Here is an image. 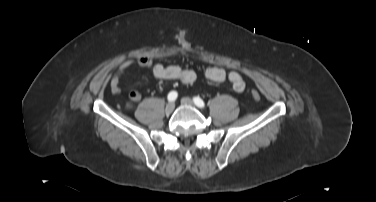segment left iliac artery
Listing matches in <instances>:
<instances>
[{"instance_id":"1","label":"left iliac artery","mask_w":376,"mask_h":202,"mask_svg":"<svg viewBox=\"0 0 376 202\" xmlns=\"http://www.w3.org/2000/svg\"><path fill=\"white\" fill-rule=\"evenodd\" d=\"M193 101L200 108H203L205 106L204 101L200 97H194Z\"/></svg>"}]
</instances>
